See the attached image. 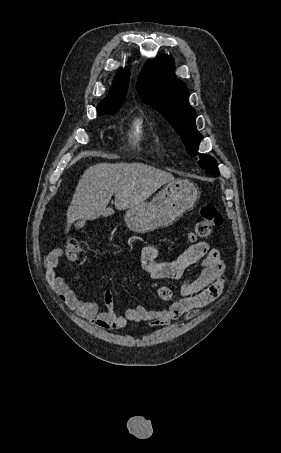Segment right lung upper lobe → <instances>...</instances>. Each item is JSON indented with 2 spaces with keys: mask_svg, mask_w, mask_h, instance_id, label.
<instances>
[{
  "mask_svg": "<svg viewBox=\"0 0 281 453\" xmlns=\"http://www.w3.org/2000/svg\"><path fill=\"white\" fill-rule=\"evenodd\" d=\"M129 77L130 73L127 68L119 70L115 77L111 92L108 97H106L97 107L99 116L118 111L120 109L126 97Z\"/></svg>",
  "mask_w": 281,
  "mask_h": 453,
  "instance_id": "cb5924a9",
  "label": "right lung upper lobe"
}]
</instances>
